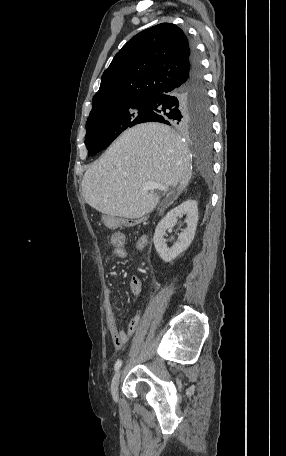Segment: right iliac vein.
I'll return each instance as SVG.
<instances>
[{
	"label": "right iliac vein",
	"instance_id": "1",
	"mask_svg": "<svg viewBox=\"0 0 286 456\" xmlns=\"http://www.w3.org/2000/svg\"><path fill=\"white\" fill-rule=\"evenodd\" d=\"M120 377H121V371H118L114 375V377L112 379V383H111V394L115 400H117V398H118V386H119Z\"/></svg>",
	"mask_w": 286,
	"mask_h": 456
}]
</instances>
